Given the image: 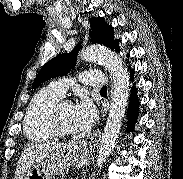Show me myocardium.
I'll list each match as a JSON object with an SVG mask.
<instances>
[{
  "mask_svg": "<svg viewBox=\"0 0 183 179\" xmlns=\"http://www.w3.org/2000/svg\"><path fill=\"white\" fill-rule=\"evenodd\" d=\"M65 105H73L72 102L68 99L58 100L51 108L48 116V125L54 136L57 137H70L75 135V132H68L62 130L58 125V115L61 108Z\"/></svg>",
  "mask_w": 183,
  "mask_h": 179,
  "instance_id": "f54148a6",
  "label": "myocardium"
}]
</instances>
